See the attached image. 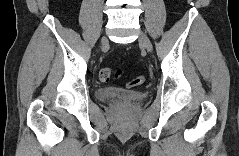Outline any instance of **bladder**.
Wrapping results in <instances>:
<instances>
[{
  "label": "bladder",
  "instance_id": "1",
  "mask_svg": "<svg viewBox=\"0 0 239 156\" xmlns=\"http://www.w3.org/2000/svg\"><path fill=\"white\" fill-rule=\"evenodd\" d=\"M96 97L101 101L124 99L132 103H138L146 98V93L143 91L129 92L113 87H100L96 90Z\"/></svg>",
  "mask_w": 239,
  "mask_h": 156
}]
</instances>
